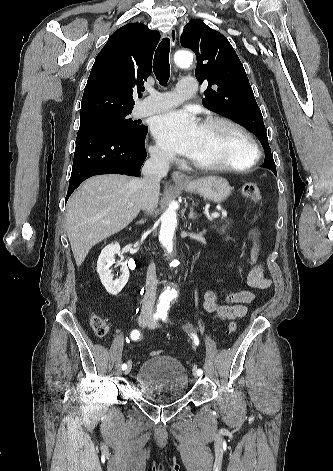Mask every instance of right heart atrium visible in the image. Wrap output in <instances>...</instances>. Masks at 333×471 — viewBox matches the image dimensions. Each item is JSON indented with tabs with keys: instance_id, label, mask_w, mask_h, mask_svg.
Listing matches in <instances>:
<instances>
[{
	"instance_id": "obj_1",
	"label": "right heart atrium",
	"mask_w": 333,
	"mask_h": 471,
	"mask_svg": "<svg viewBox=\"0 0 333 471\" xmlns=\"http://www.w3.org/2000/svg\"><path fill=\"white\" fill-rule=\"evenodd\" d=\"M152 158L161 165H169L173 161V156L158 145L151 147Z\"/></svg>"
}]
</instances>
